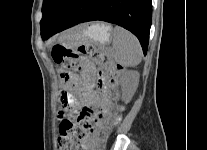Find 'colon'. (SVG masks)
Returning <instances> with one entry per match:
<instances>
[{
	"label": "colon",
	"mask_w": 207,
	"mask_h": 150,
	"mask_svg": "<svg viewBox=\"0 0 207 150\" xmlns=\"http://www.w3.org/2000/svg\"><path fill=\"white\" fill-rule=\"evenodd\" d=\"M52 58L59 65V74L63 81L58 95L60 96L57 106L56 116L61 120L57 121L59 125V150H78L85 142L87 131L91 130L98 141H104L106 135L103 130H93L94 113L89 107L81 108L77 114L70 115L72 107H76V99H71L73 95L72 87L76 86L74 77H70L71 72L79 69V61L83 58H91L98 65L107 67L110 74V83L116 85V77L121 67L111 63L108 57L102 51L91 45H82L77 49H69L63 45H56L52 49ZM113 98L117 97L113 93Z\"/></svg>",
	"instance_id": "1"
}]
</instances>
